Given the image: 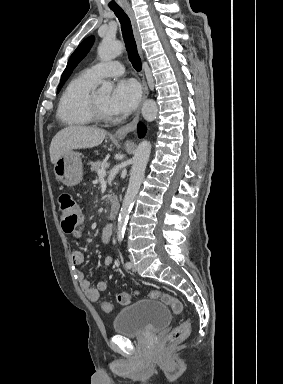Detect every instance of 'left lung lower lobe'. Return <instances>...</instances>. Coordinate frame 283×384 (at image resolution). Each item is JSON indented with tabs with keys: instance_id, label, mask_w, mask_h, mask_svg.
<instances>
[{
	"instance_id": "left-lung-lower-lobe-1",
	"label": "left lung lower lobe",
	"mask_w": 283,
	"mask_h": 384,
	"mask_svg": "<svg viewBox=\"0 0 283 384\" xmlns=\"http://www.w3.org/2000/svg\"><path fill=\"white\" fill-rule=\"evenodd\" d=\"M138 134L140 137H142L145 134V127L141 123H139L138 125Z\"/></svg>"
}]
</instances>
